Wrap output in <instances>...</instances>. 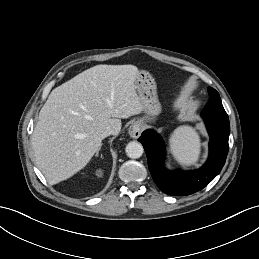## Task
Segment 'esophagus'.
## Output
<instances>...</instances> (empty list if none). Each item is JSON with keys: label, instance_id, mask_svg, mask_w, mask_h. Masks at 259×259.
Instances as JSON below:
<instances>
[{"label": "esophagus", "instance_id": "obj_1", "mask_svg": "<svg viewBox=\"0 0 259 259\" xmlns=\"http://www.w3.org/2000/svg\"><path fill=\"white\" fill-rule=\"evenodd\" d=\"M141 131H142L141 125L137 122L130 125L128 129L129 135L134 139H137L141 135Z\"/></svg>", "mask_w": 259, "mask_h": 259}]
</instances>
